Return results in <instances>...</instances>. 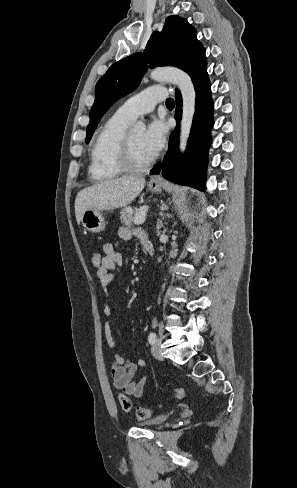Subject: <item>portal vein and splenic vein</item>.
Returning <instances> with one entry per match:
<instances>
[{
  "label": "portal vein and splenic vein",
  "mask_w": 297,
  "mask_h": 488,
  "mask_svg": "<svg viewBox=\"0 0 297 488\" xmlns=\"http://www.w3.org/2000/svg\"><path fill=\"white\" fill-rule=\"evenodd\" d=\"M130 211H132V209H130ZM139 214H136L135 216V222L140 225V224H143L146 220V216H147V211H148V206H143L139 209Z\"/></svg>",
  "instance_id": "portal-vein-and-splenic-vein-1"
}]
</instances>
